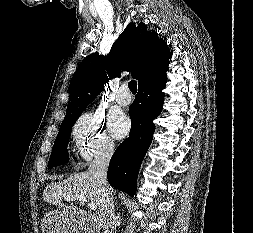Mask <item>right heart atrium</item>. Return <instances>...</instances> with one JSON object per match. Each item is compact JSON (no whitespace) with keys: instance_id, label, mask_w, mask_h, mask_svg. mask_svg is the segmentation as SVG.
Returning <instances> with one entry per match:
<instances>
[{"instance_id":"obj_1","label":"right heart atrium","mask_w":253,"mask_h":233,"mask_svg":"<svg viewBox=\"0 0 253 233\" xmlns=\"http://www.w3.org/2000/svg\"><path fill=\"white\" fill-rule=\"evenodd\" d=\"M72 137L77 152L85 161L98 156H109L115 148L102 117L92 111L83 113L76 120L72 128Z\"/></svg>"}]
</instances>
